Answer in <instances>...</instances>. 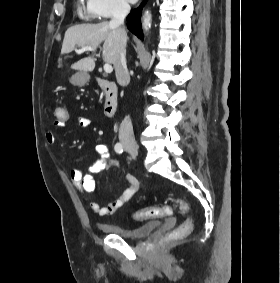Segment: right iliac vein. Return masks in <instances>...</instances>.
Listing matches in <instances>:
<instances>
[{"mask_svg": "<svg viewBox=\"0 0 280 283\" xmlns=\"http://www.w3.org/2000/svg\"><path fill=\"white\" fill-rule=\"evenodd\" d=\"M127 150L129 152H137L138 148L136 146H127Z\"/></svg>", "mask_w": 280, "mask_h": 283, "instance_id": "obj_1", "label": "right iliac vein"}]
</instances>
